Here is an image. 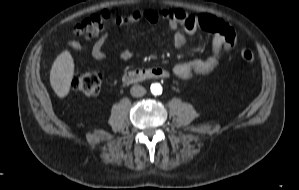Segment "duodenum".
I'll use <instances>...</instances> for the list:
<instances>
[{"instance_id": "1", "label": "duodenum", "mask_w": 299, "mask_h": 190, "mask_svg": "<svg viewBox=\"0 0 299 190\" xmlns=\"http://www.w3.org/2000/svg\"><path fill=\"white\" fill-rule=\"evenodd\" d=\"M169 76L167 70L158 67L140 68L126 72L123 75L125 84H135L147 79H164Z\"/></svg>"}]
</instances>
